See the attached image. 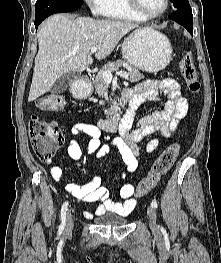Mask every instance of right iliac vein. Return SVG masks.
Here are the masks:
<instances>
[{
  "mask_svg": "<svg viewBox=\"0 0 221 263\" xmlns=\"http://www.w3.org/2000/svg\"><path fill=\"white\" fill-rule=\"evenodd\" d=\"M73 225L74 223H73L72 211L69 210L67 213L65 232L66 233L71 232V230L73 229Z\"/></svg>",
  "mask_w": 221,
  "mask_h": 263,
  "instance_id": "right-iliac-vein-1",
  "label": "right iliac vein"
}]
</instances>
